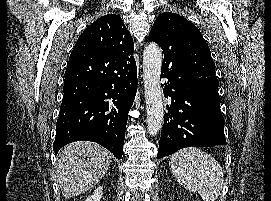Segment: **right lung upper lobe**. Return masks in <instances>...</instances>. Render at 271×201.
Returning <instances> with one entry per match:
<instances>
[{
  "label": "right lung upper lobe",
  "mask_w": 271,
  "mask_h": 201,
  "mask_svg": "<svg viewBox=\"0 0 271 201\" xmlns=\"http://www.w3.org/2000/svg\"><path fill=\"white\" fill-rule=\"evenodd\" d=\"M91 49L134 60V44L120 16L109 14L97 19L79 36L73 50Z\"/></svg>",
  "instance_id": "obj_1"
}]
</instances>
